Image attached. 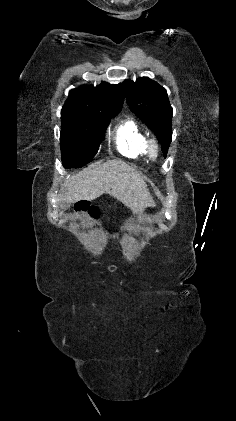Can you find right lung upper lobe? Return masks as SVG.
<instances>
[{
    "label": "right lung upper lobe",
    "mask_w": 236,
    "mask_h": 421,
    "mask_svg": "<svg viewBox=\"0 0 236 421\" xmlns=\"http://www.w3.org/2000/svg\"><path fill=\"white\" fill-rule=\"evenodd\" d=\"M123 102L124 91L122 84L111 85L103 82L96 87L88 85L71 90L65 105L121 109Z\"/></svg>",
    "instance_id": "cb5924a9"
}]
</instances>
